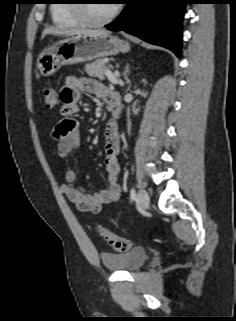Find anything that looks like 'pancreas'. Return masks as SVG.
I'll use <instances>...</instances> for the list:
<instances>
[{
    "mask_svg": "<svg viewBox=\"0 0 236 321\" xmlns=\"http://www.w3.org/2000/svg\"><path fill=\"white\" fill-rule=\"evenodd\" d=\"M108 60L98 59L91 64L85 65V72L91 77H97L100 80L104 79L105 71L109 70L107 66Z\"/></svg>",
    "mask_w": 236,
    "mask_h": 321,
    "instance_id": "cf45deb5",
    "label": "pancreas"
}]
</instances>
